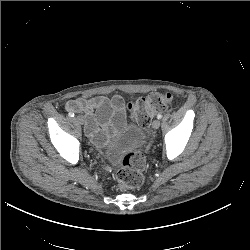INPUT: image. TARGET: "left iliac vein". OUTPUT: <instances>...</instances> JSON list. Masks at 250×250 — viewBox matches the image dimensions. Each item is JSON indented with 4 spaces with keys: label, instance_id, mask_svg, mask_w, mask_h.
<instances>
[{
    "label": "left iliac vein",
    "instance_id": "4c4485c4",
    "mask_svg": "<svg viewBox=\"0 0 250 250\" xmlns=\"http://www.w3.org/2000/svg\"><path fill=\"white\" fill-rule=\"evenodd\" d=\"M152 127L154 129H158L160 127V121L159 120H154L153 123H152Z\"/></svg>",
    "mask_w": 250,
    "mask_h": 250
}]
</instances>
